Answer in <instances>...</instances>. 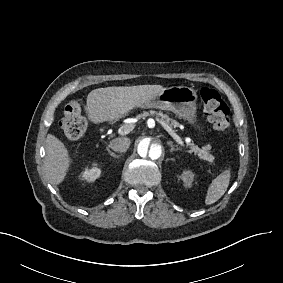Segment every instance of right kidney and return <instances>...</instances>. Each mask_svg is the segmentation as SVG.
Returning <instances> with one entry per match:
<instances>
[{"mask_svg":"<svg viewBox=\"0 0 283 283\" xmlns=\"http://www.w3.org/2000/svg\"><path fill=\"white\" fill-rule=\"evenodd\" d=\"M101 169L97 166H93L92 168H86L84 172L81 173V179L86 180L87 182H93L98 177H100Z\"/></svg>","mask_w":283,"mask_h":283,"instance_id":"right-kidney-1","label":"right kidney"}]
</instances>
